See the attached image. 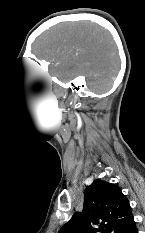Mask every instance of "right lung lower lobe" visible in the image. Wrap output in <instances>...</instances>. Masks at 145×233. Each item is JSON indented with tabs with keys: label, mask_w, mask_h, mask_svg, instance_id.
<instances>
[{
	"label": "right lung lower lobe",
	"mask_w": 145,
	"mask_h": 233,
	"mask_svg": "<svg viewBox=\"0 0 145 233\" xmlns=\"http://www.w3.org/2000/svg\"><path fill=\"white\" fill-rule=\"evenodd\" d=\"M120 233H138L133 217L129 223L120 231Z\"/></svg>",
	"instance_id": "98d812e1"
}]
</instances>
